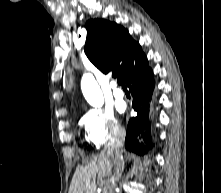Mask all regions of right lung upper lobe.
Returning a JSON list of instances; mask_svg holds the SVG:
<instances>
[{"instance_id":"1","label":"right lung upper lobe","mask_w":221,"mask_h":193,"mask_svg":"<svg viewBox=\"0 0 221 193\" xmlns=\"http://www.w3.org/2000/svg\"><path fill=\"white\" fill-rule=\"evenodd\" d=\"M85 53L103 73L113 72L126 81L146 60L141 46L128 31L116 23L105 20H88Z\"/></svg>"}]
</instances>
